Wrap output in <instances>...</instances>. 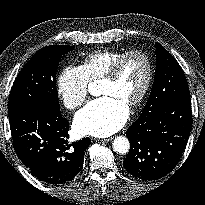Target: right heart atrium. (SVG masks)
Wrapping results in <instances>:
<instances>
[{"mask_svg":"<svg viewBox=\"0 0 205 205\" xmlns=\"http://www.w3.org/2000/svg\"><path fill=\"white\" fill-rule=\"evenodd\" d=\"M88 84L80 66H66L57 77V95L67 109L75 110L86 101Z\"/></svg>","mask_w":205,"mask_h":205,"instance_id":"right-heart-atrium-1","label":"right heart atrium"}]
</instances>
